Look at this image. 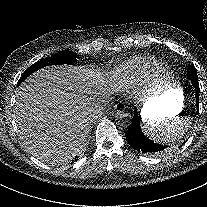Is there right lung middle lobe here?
Listing matches in <instances>:
<instances>
[{"label": "right lung middle lobe", "instance_id": "1", "mask_svg": "<svg viewBox=\"0 0 207 207\" xmlns=\"http://www.w3.org/2000/svg\"><path fill=\"white\" fill-rule=\"evenodd\" d=\"M77 54L71 51H60L51 57L42 59L37 61L33 65H31L20 77L18 81V86L32 73L35 71L48 66V65H55V64H68L71 65L76 61Z\"/></svg>", "mask_w": 207, "mask_h": 207}]
</instances>
